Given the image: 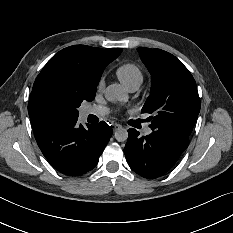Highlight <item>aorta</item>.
I'll list each match as a JSON object with an SVG mask.
<instances>
[{
    "label": "aorta",
    "instance_id": "aorta-1",
    "mask_svg": "<svg viewBox=\"0 0 233 233\" xmlns=\"http://www.w3.org/2000/svg\"><path fill=\"white\" fill-rule=\"evenodd\" d=\"M105 98L110 102H128L129 95L127 90L120 84L114 83L109 85L105 90ZM115 139L119 142H124L128 138V132L126 129L121 128L115 131Z\"/></svg>",
    "mask_w": 233,
    "mask_h": 233
}]
</instances>
